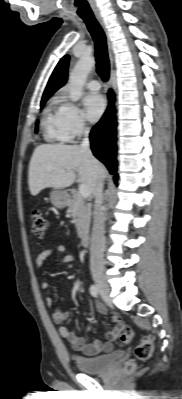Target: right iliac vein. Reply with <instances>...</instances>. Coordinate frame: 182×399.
<instances>
[{"label":"right iliac vein","mask_w":182,"mask_h":399,"mask_svg":"<svg viewBox=\"0 0 182 399\" xmlns=\"http://www.w3.org/2000/svg\"><path fill=\"white\" fill-rule=\"evenodd\" d=\"M93 279H94V282H95L101 296L105 300H108L110 291H109V287L104 279V276L102 274H95Z\"/></svg>","instance_id":"1"}]
</instances>
